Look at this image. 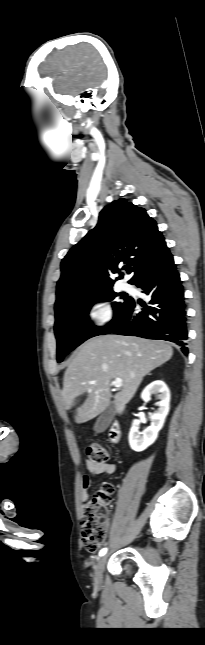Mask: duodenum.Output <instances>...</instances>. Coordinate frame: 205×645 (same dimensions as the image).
I'll return each mask as SVG.
<instances>
[{
	"label": "duodenum",
	"mask_w": 205,
	"mask_h": 645,
	"mask_svg": "<svg viewBox=\"0 0 205 645\" xmlns=\"http://www.w3.org/2000/svg\"><path fill=\"white\" fill-rule=\"evenodd\" d=\"M121 436V431L118 423H113L109 430V438L112 442L116 443L119 441Z\"/></svg>",
	"instance_id": "410a0bca"
}]
</instances>
